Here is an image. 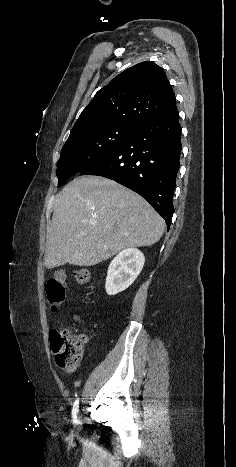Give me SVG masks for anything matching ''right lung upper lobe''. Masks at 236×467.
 Instances as JSON below:
<instances>
[{
    "mask_svg": "<svg viewBox=\"0 0 236 467\" xmlns=\"http://www.w3.org/2000/svg\"><path fill=\"white\" fill-rule=\"evenodd\" d=\"M175 108V94L162 68L141 62L95 94L70 134L111 125L138 129Z\"/></svg>",
    "mask_w": 236,
    "mask_h": 467,
    "instance_id": "cb5924a9",
    "label": "right lung upper lobe"
}]
</instances>
